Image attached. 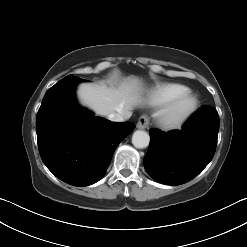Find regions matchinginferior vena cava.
Here are the masks:
<instances>
[{
    "mask_svg": "<svg viewBox=\"0 0 247 247\" xmlns=\"http://www.w3.org/2000/svg\"><path fill=\"white\" fill-rule=\"evenodd\" d=\"M132 113L129 110L120 109L117 112L110 113L108 119L111 121L121 122L130 118Z\"/></svg>",
    "mask_w": 247,
    "mask_h": 247,
    "instance_id": "obj_1",
    "label": "inferior vena cava"
}]
</instances>
